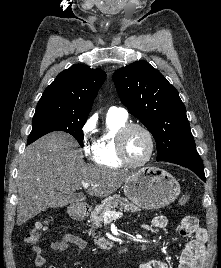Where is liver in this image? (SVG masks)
Masks as SVG:
<instances>
[{"label":"liver","mask_w":221,"mask_h":268,"mask_svg":"<svg viewBox=\"0 0 221 268\" xmlns=\"http://www.w3.org/2000/svg\"><path fill=\"white\" fill-rule=\"evenodd\" d=\"M74 139L54 132L29 145L18 168L17 225L20 226L57 202V194L73 195L83 183L88 194L106 197L116 192L132 175L121 170L86 164Z\"/></svg>","instance_id":"1"}]
</instances>
